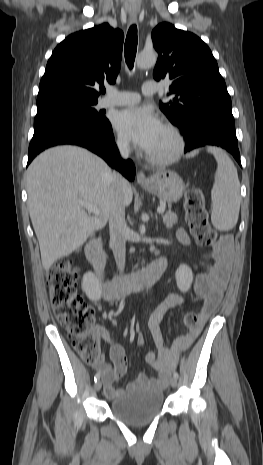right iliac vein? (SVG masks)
<instances>
[{
	"label": "right iliac vein",
	"instance_id": "obj_1",
	"mask_svg": "<svg viewBox=\"0 0 263 465\" xmlns=\"http://www.w3.org/2000/svg\"><path fill=\"white\" fill-rule=\"evenodd\" d=\"M101 387H102V382H101V380H98L95 383V390L98 392V391H100Z\"/></svg>",
	"mask_w": 263,
	"mask_h": 465
}]
</instances>
